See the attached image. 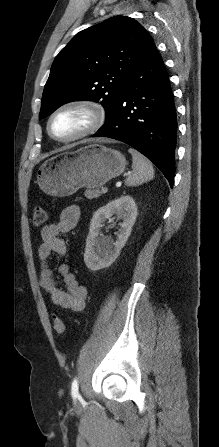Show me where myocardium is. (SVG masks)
Wrapping results in <instances>:
<instances>
[{
  "mask_svg": "<svg viewBox=\"0 0 219 447\" xmlns=\"http://www.w3.org/2000/svg\"><path fill=\"white\" fill-rule=\"evenodd\" d=\"M79 109L87 113L90 118L88 125L79 133L70 137H58L53 134L51 125L53 119L60 113L67 110ZM107 119V113L105 108L98 102L86 99H75L67 101L58 106L48 117L47 120V132L50 137L58 142L68 143L83 139L99 131L105 124Z\"/></svg>",
  "mask_w": 219,
  "mask_h": 447,
  "instance_id": "obj_1",
  "label": "myocardium"
}]
</instances>
